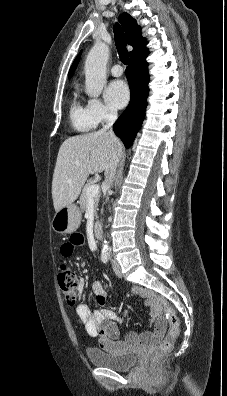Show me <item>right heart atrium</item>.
<instances>
[{
    "instance_id": "right-heart-atrium-1",
    "label": "right heart atrium",
    "mask_w": 227,
    "mask_h": 396,
    "mask_svg": "<svg viewBox=\"0 0 227 396\" xmlns=\"http://www.w3.org/2000/svg\"><path fill=\"white\" fill-rule=\"evenodd\" d=\"M86 107L90 117L96 125L111 121L116 117V111L99 99H89Z\"/></svg>"
}]
</instances>
